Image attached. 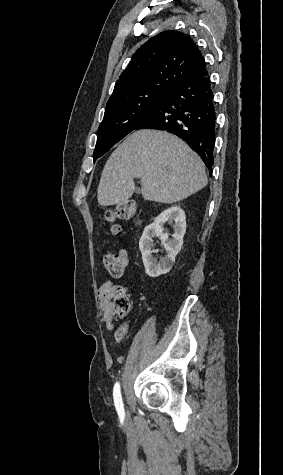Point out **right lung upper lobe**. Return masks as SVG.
I'll return each mask as SVG.
<instances>
[{
  "mask_svg": "<svg viewBox=\"0 0 283 475\" xmlns=\"http://www.w3.org/2000/svg\"><path fill=\"white\" fill-rule=\"evenodd\" d=\"M207 74L205 60L192 39L168 30L149 39L136 51L107 104L155 91L170 92L186 80Z\"/></svg>",
  "mask_w": 283,
  "mask_h": 475,
  "instance_id": "1",
  "label": "right lung upper lobe"
}]
</instances>
